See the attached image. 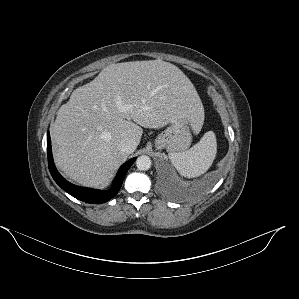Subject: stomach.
Here are the masks:
<instances>
[{
  "mask_svg": "<svg viewBox=\"0 0 299 299\" xmlns=\"http://www.w3.org/2000/svg\"><path fill=\"white\" fill-rule=\"evenodd\" d=\"M190 119L187 116L174 118L169 126L157 136L154 145L157 149L166 148L169 153L184 152L191 144Z\"/></svg>",
  "mask_w": 299,
  "mask_h": 299,
  "instance_id": "stomach-1",
  "label": "stomach"
}]
</instances>
